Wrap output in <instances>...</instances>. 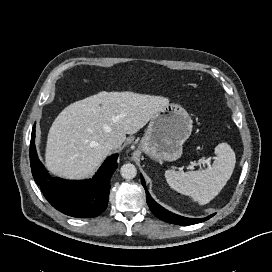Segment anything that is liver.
I'll return each mask as SVG.
<instances>
[{"instance_id":"liver-1","label":"liver","mask_w":272,"mask_h":272,"mask_svg":"<svg viewBox=\"0 0 272 272\" xmlns=\"http://www.w3.org/2000/svg\"><path fill=\"white\" fill-rule=\"evenodd\" d=\"M168 104L165 97L128 91H103L70 104L49 130L47 169L66 179L86 178L110 154L105 147L109 138L121 146L126 134L138 132Z\"/></svg>"}]
</instances>
